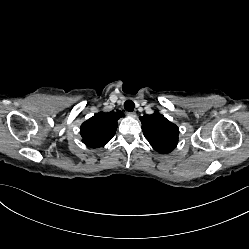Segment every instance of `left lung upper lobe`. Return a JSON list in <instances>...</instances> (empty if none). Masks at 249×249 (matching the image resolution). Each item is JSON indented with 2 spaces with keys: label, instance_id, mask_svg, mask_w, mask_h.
<instances>
[{
  "label": "left lung upper lobe",
  "instance_id": "obj_1",
  "mask_svg": "<svg viewBox=\"0 0 249 249\" xmlns=\"http://www.w3.org/2000/svg\"><path fill=\"white\" fill-rule=\"evenodd\" d=\"M139 119L142 123L143 134L154 150L169 153L176 148L179 129L175 124L157 111Z\"/></svg>",
  "mask_w": 249,
  "mask_h": 249
}]
</instances>
